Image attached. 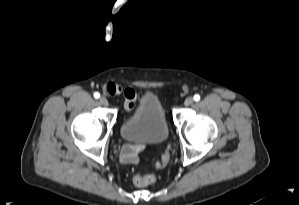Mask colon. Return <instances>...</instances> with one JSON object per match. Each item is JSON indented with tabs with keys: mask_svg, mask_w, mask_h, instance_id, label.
<instances>
[{
	"mask_svg": "<svg viewBox=\"0 0 299 205\" xmlns=\"http://www.w3.org/2000/svg\"><path fill=\"white\" fill-rule=\"evenodd\" d=\"M168 161V155H165L162 163L159 165H164ZM156 181V176L154 174H147V175H140L136 174L133 176V182L136 186H147L149 184H152Z\"/></svg>",
	"mask_w": 299,
	"mask_h": 205,
	"instance_id": "1",
	"label": "colon"
}]
</instances>
